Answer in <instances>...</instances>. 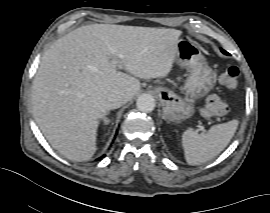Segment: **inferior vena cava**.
<instances>
[{
  "instance_id": "obj_1",
  "label": "inferior vena cava",
  "mask_w": 270,
  "mask_h": 213,
  "mask_svg": "<svg viewBox=\"0 0 270 213\" xmlns=\"http://www.w3.org/2000/svg\"><path fill=\"white\" fill-rule=\"evenodd\" d=\"M109 101L114 105V106H121L127 102L126 95L123 91L121 90H114L110 93L109 95Z\"/></svg>"
}]
</instances>
